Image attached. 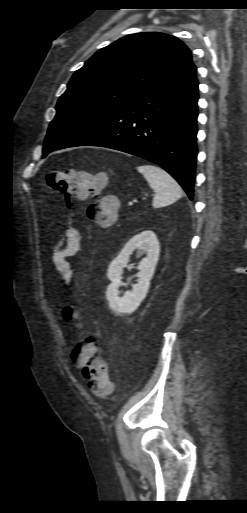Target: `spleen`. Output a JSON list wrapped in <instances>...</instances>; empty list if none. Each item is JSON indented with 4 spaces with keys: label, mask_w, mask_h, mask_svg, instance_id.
<instances>
[{
    "label": "spleen",
    "mask_w": 247,
    "mask_h": 513,
    "mask_svg": "<svg viewBox=\"0 0 247 513\" xmlns=\"http://www.w3.org/2000/svg\"><path fill=\"white\" fill-rule=\"evenodd\" d=\"M149 186L155 192L152 205L160 208L174 203L182 197V189L176 180L165 170L150 164H143L137 167Z\"/></svg>",
    "instance_id": "spleen-1"
}]
</instances>
